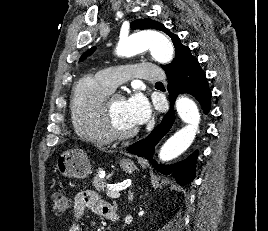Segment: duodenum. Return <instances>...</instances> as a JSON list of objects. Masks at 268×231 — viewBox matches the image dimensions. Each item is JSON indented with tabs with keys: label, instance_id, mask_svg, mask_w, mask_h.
Here are the masks:
<instances>
[{
	"label": "duodenum",
	"instance_id": "obj_1",
	"mask_svg": "<svg viewBox=\"0 0 268 231\" xmlns=\"http://www.w3.org/2000/svg\"><path fill=\"white\" fill-rule=\"evenodd\" d=\"M111 219L116 220V219H117L116 214H114V215L111 217Z\"/></svg>",
	"mask_w": 268,
	"mask_h": 231
}]
</instances>
